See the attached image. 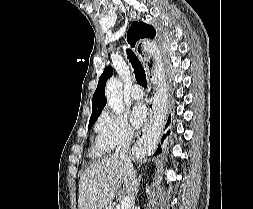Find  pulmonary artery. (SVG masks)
<instances>
[{"mask_svg": "<svg viewBox=\"0 0 253 209\" xmlns=\"http://www.w3.org/2000/svg\"><path fill=\"white\" fill-rule=\"evenodd\" d=\"M131 96L136 99H142L144 96V92L142 90V88L139 85H134L131 89Z\"/></svg>", "mask_w": 253, "mask_h": 209, "instance_id": "e3ab8cb5", "label": "pulmonary artery"}]
</instances>
